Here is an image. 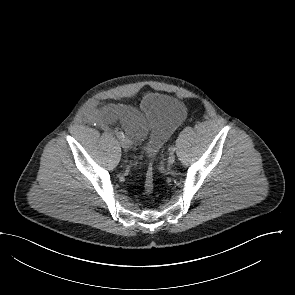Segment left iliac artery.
<instances>
[{
  "label": "left iliac artery",
  "mask_w": 295,
  "mask_h": 295,
  "mask_svg": "<svg viewBox=\"0 0 295 295\" xmlns=\"http://www.w3.org/2000/svg\"><path fill=\"white\" fill-rule=\"evenodd\" d=\"M175 149H176V148H175L174 146H170V147H169V151H170L171 153L174 152Z\"/></svg>",
  "instance_id": "obj_1"
}]
</instances>
